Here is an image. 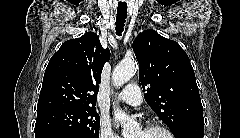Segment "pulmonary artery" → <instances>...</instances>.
Segmentation results:
<instances>
[{
    "label": "pulmonary artery",
    "instance_id": "e3ab8cb5",
    "mask_svg": "<svg viewBox=\"0 0 240 138\" xmlns=\"http://www.w3.org/2000/svg\"><path fill=\"white\" fill-rule=\"evenodd\" d=\"M117 98L131 106H139L142 101L140 88L136 84L127 85L117 96Z\"/></svg>",
    "mask_w": 240,
    "mask_h": 138
}]
</instances>
